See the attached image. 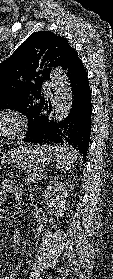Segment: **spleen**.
<instances>
[{
    "mask_svg": "<svg viewBox=\"0 0 113 279\" xmlns=\"http://www.w3.org/2000/svg\"><path fill=\"white\" fill-rule=\"evenodd\" d=\"M44 148L53 154L57 161L56 168L63 171L69 170L77 160L76 150L71 147L44 145Z\"/></svg>",
    "mask_w": 113,
    "mask_h": 279,
    "instance_id": "obj_1",
    "label": "spleen"
}]
</instances>
